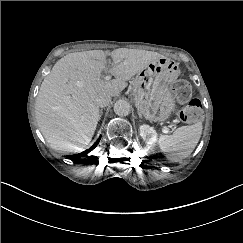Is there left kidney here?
Returning a JSON list of instances; mask_svg holds the SVG:
<instances>
[{"instance_id": "5707ae66", "label": "left kidney", "mask_w": 243, "mask_h": 243, "mask_svg": "<svg viewBox=\"0 0 243 243\" xmlns=\"http://www.w3.org/2000/svg\"><path fill=\"white\" fill-rule=\"evenodd\" d=\"M140 135L147 143V145L150 146H153L157 139V133L155 132V130L147 125H143L140 127Z\"/></svg>"}]
</instances>
